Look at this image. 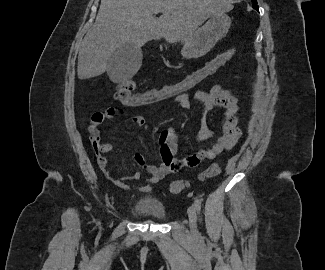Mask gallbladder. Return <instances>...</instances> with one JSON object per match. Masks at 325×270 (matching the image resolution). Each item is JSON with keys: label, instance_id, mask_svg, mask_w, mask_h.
<instances>
[{"label": "gallbladder", "instance_id": "obj_1", "mask_svg": "<svg viewBox=\"0 0 325 270\" xmlns=\"http://www.w3.org/2000/svg\"><path fill=\"white\" fill-rule=\"evenodd\" d=\"M142 63V51L131 43L118 48L109 58L107 73L115 80L132 78Z\"/></svg>", "mask_w": 325, "mask_h": 270}]
</instances>
